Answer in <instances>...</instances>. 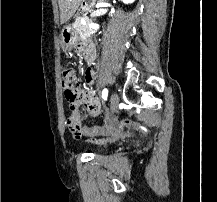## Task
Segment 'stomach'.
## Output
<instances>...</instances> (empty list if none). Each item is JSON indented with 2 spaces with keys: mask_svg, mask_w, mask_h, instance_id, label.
<instances>
[{
  "mask_svg": "<svg viewBox=\"0 0 217 202\" xmlns=\"http://www.w3.org/2000/svg\"><path fill=\"white\" fill-rule=\"evenodd\" d=\"M96 0H81L80 2V10L81 14H88V12H92L95 6ZM80 42V34H78L77 30H74L72 26H64L61 32V48L65 54L71 52L73 48H76Z\"/></svg>",
  "mask_w": 217,
  "mask_h": 202,
  "instance_id": "0dacf381",
  "label": "stomach"
}]
</instances>
